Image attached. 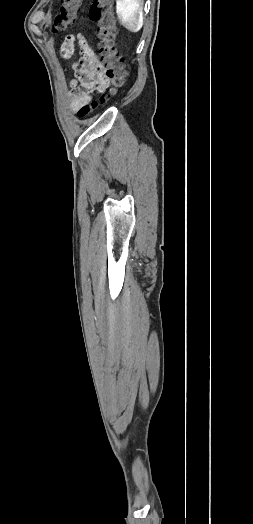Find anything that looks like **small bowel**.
Instances as JSON below:
<instances>
[{"mask_svg": "<svg viewBox=\"0 0 253 524\" xmlns=\"http://www.w3.org/2000/svg\"><path fill=\"white\" fill-rule=\"evenodd\" d=\"M77 38L81 59L75 68L72 94L77 103H84L96 91L105 90L109 85V80L104 75L103 64L94 49L82 36ZM72 40L73 37L71 35L65 38V41L68 42ZM59 50L69 55L75 50V45L73 43H61Z\"/></svg>", "mask_w": 253, "mask_h": 524, "instance_id": "1", "label": "small bowel"}]
</instances>
